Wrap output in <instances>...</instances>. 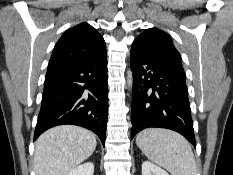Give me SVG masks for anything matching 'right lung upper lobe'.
Here are the masks:
<instances>
[{"mask_svg":"<svg viewBox=\"0 0 233 175\" xmlns=\"http://www.w3.org/2000/svg\"><path fill=\"white\" fill-rule=\"evenodd\" d=\"M106 51L102 36L87 23L68 29L56 43L48 73L95 58Z\"/></svg>","mask_w":233,"mask_h":175,"instance_id":"cb5924a9","label":"right lung upper lobe"}]
</instances>
